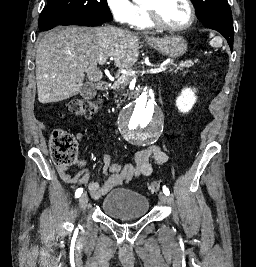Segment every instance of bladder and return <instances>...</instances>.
Wrapping results in <instances>:
<instances>
[{
    "label": "bladder",
    "instance_id": "1",
    "mask_svg": "<svg viewBox=\"0 0 256 267\" xmlns=\"http://www.w3.org/2000/svg\"><path fill=\"white\" fill-rule=\"evenodd\" d=\"M149 199L137 191L116 188L102 198V211L115 218H139L147 214Z\"/></svg>",
    "mask_w": 256,
    "mask_h": 267
}]
</instances>
